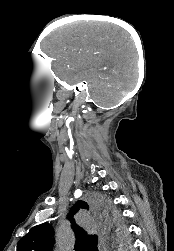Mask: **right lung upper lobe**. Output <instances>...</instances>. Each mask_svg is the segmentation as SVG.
Wrapping results in <instances>:
<instances>
[{"label":"right lung upper lobe","mask_w":174,"mask_h":251,"mask_svg":"<svg viewBox=\"0 0 174 251\" xmlns=\"http://www.w3.org/2000/svg\"><path fill=\"white\" fill-rule=\"evenodd\" d=\"M79 208L89 209L84 201H77L72 207L69 217L73 216ZM72 227L75 231L76 251H98L97 235H87L83 229L79 228L71 218ZM53 231L48 223H43L33 227L27 235L22 237L17 244V251H52Z\"/></svg>","instance_id":"cb5924a9"}]
</instances>
